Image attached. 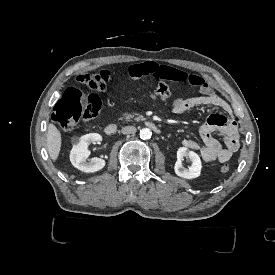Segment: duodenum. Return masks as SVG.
<instances>
[{
    "label": "duodenum",
    "mask_w": 275,
    "mask_h": 275,
    "mask_svg": "<svg viewBox=\"0 0 275 275\" xmlns=\"http://www.w3.org/2000/svg\"><path fill=\"white\" fill-rule=\"evenodd\" d=\"M146 125L155 134H160L161 133V128L158 125H156L155 123H153L151 121H147ZM117 130H118V128H117L116 124H113V123L108 124L105 127V133L109 136L115 135L117 133Z\"/></svg>",
    "instance_id": "duodenum-1"
}]
</instances>
